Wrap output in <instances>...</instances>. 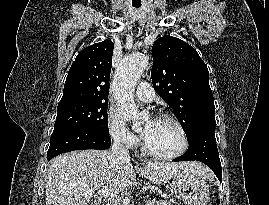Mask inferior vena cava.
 Returning <instances> with one entry per match:
<instances>
[{"instance_id": "1", "label": "inferior vena cava", "mask_w": 269, "mask_h": 205, "mask_svg": "<svg viewBox=\"0 0 269 205\" xmlns=\"http://www.w3.org/2000/svg\"><path fill=\"white\" fill-rule=\"evenodd\" d=\"M125 140L121 136L114 137L111 153L120 159H129L128 150L124 147Z\"/></svg>"}]
</instances>
